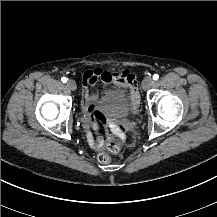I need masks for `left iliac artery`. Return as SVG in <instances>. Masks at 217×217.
Listing matches in <instances>:
<instances>
[{
    "label": "left iliac artery",
    "mask_w": 217,
    "mask_h": 217,
    "mask_svg": "<svg viewBox=\"0 0 217 217\" xmlns=\"http://www.w3.org/2000/svg\"><path fill=\"white\" fill-rule=\"evenodd\" d=\"M159 78V75L158 74H154L153 75V80H157Z\"/></svg>",
    "instance_id": "44dca946"
}]
</instances>
